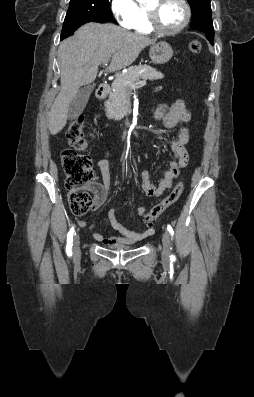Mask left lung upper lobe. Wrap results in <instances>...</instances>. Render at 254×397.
<instances>
[{"label":"left lung upper lobe","mask_w":254,"mask_h":397,"mask_svg":"<svg viewBox=\"0 0 254 397\" xmlns=\"http://www.w3.org/2000/svg\"><path fill=\"white\" fill-rule=\"evenodd\" d=\"M192 9L191 27L214 36L210 0H187Z\"/></svg>","instance_id":"5c2ea615"}]
</instances>
